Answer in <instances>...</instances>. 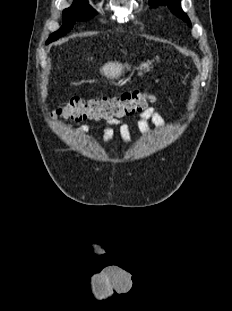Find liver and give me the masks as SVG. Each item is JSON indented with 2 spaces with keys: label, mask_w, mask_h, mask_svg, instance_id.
Instances as JSON below:
<instances>
[{
  "label": "liver",
  "mask_w": 232,
  "mask_h": 311,
  "mask_svg": "<svg viewBox=\"0 0 232 311\" xmlns=\"http://www.w3.org/2000/svg\"><path fill=\"white\" fill-rule=\"evenodd\" d=\"M124 67L130 69V66L128 64H125V66H123L119 62H108L100 69V72L104 74L107 78L114 79L118 78L122 74Z\"/></svg>",
  "instance_id": "liver-1"
}]
</instances>
